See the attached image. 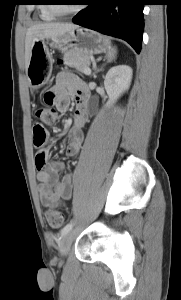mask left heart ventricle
<instances>
[{"label": "left heart ventricle", "instance_id": "1", "mask_svg": "<svg viewBox=\"0 0 181 300\" xmlns=\"http://www.w3.org/2000/svg\"><path fill=\"white\" fill-rule=\"evenodd\" d=\"M61 2H69V1H61ZM59 9L63 10V11H68L71 10L73 8V5H69V4H60L57 5Z\"/></svg>", "mask_w": 181, "mask_h": 300}]
</instances>
